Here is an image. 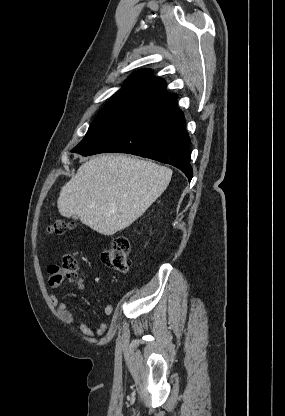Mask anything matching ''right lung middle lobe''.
Wrapping results in <instances>:
<instances>
[{"instance_id":"1","label":"right lung middle lobe","mask_w":285,"mask_h":416,"mask_svg":"<svg viewBox=\"0 0 285 416\" xmlns=\"http://www.w3.org/2000/svg\"><path fill=\"white\" fill-rule=\"evenodd\" d=\"M161 109L160 105L133 95L111 97L83 140L71 152L84 151Z\"/></svg>"}]
</instances>
